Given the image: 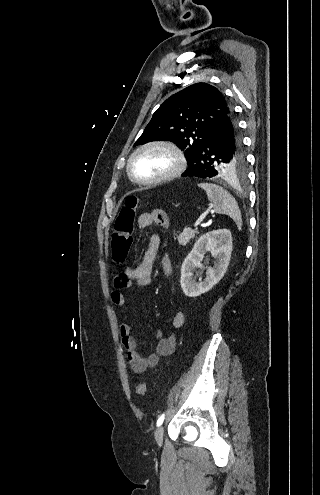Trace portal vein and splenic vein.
Returning a JSON list of instances; mask_svg holds the SVG:
<instances>
[{"label": "portal vein and splenic vein", "mask_w": 320, "mask_h": 495, "mask_svg": "<svg viewBox=\"0 0 320 495\" xmlns=\"http://www.w3.org/2000/svg\"><path fill=\"white\" fill-rule=\"evenodd\" d=\"M199 225H200V222H199V223H196V224L194 225V227L197 229Z\"/></svg>", "instance_id": "portal-vein-and-splenic-vein-1"}]
</instances>
